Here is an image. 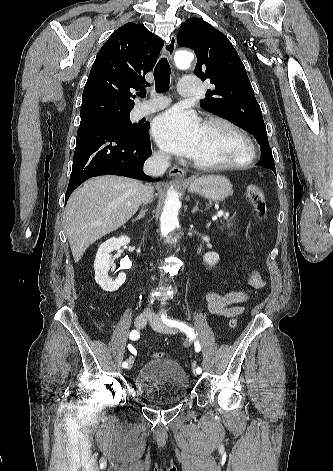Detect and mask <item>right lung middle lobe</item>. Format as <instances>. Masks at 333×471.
Segmentation results:
<instances>
[{"mask_svg": "<svg viewBox=\"0 0 333 471\" xmlns=\"http://www.w3.org/2000/svg\"><path fill=\"white\" fill-rule=\"evenodd\" d=\"M130 111L111 113L95 118L81 120L79 128L96 126V125H110L124 128L127 130H137L141 125L132 124L130 121Z\"/></svg>", "mask_w": 333, "mask_h": 471, "instance_id": "dd1d6c3e", "label": "right lung middle lobe"}]
</instances>
